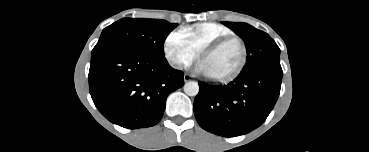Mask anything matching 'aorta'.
<instances>
[{"label": "aorta", "mask_w": 369, "mask_h": 152, "mask_svg": "<svg viewBox=\"0 0 369 152\" xmlns=\"http://www.w3.org/2000/svg\"><path fill=\"white\" fill-rule=\"evenodd\" d=\"M184 92L188 96H196L199 92V85L197 82L189 81L184 85Z\"/></svg>", "instance_id": "762f6f07"}]
</instances>
